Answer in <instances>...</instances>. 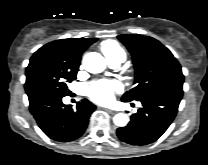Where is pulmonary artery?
Masks as SVG:
<instances>
[{
	"label": "pulmonary artery",
	"instance_id": "e3ab8cb5",
	"mask_svg": "<svg viewBox=\"0 0 208 165\" xmlns=\"http://www.w3.org/2000/svg\"><path fill=\"white\" fill-rule=\"evenodd\" d=\"M108 63L111 67L117 68L121 64V60L120 59H111V60H108Z\"/></svg>",
	"mask_w": 208,
	"mask_h": 165
}]
</instances>
